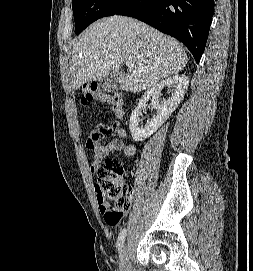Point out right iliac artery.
<instances>
[{"label": "right iliac artery", "instance_id": "1", "mask_svg": "<svg viewBox=\"0 0 253 271\" xmlns=\"http://www.w3.org/2000/svg\"><path fill=\"white\" fill-rule=\"evenodd\" d=\"M125 236H126V229L124 228L121 230V232L119 233V236H118L117 246H118L119 251L123 247Z\"/></svg>", "mask_w": 253, "mask_h": 271}]
</instances>
